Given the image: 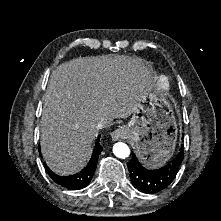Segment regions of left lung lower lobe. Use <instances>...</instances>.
<instances>
[{
    "label": "left lung lower lobe",
    "mask_w": 221,
    "mask_h": 221,
    "mask_svg": "<svg viewBox=\"0 0 221 221\" xmlns=\"http://www.w3.org/2000/svg\"><path fill=\"white\" fill-rule=\"evenodd\" d=\"M183 158V145H181L179 153L170 163L159 169L148 170L133 155L127 163L133 186L146 194H155L162 191L175 179Z\"/></svg>",
    "instance_id": "obj_1"
}]
</instances>
